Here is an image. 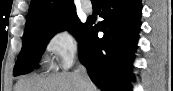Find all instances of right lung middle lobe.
<instances>
[{
	"instance_id": "dd1d6c3e",
	"label": "right lung middle lobe",
	"mask_w": 173,
	"mask_h": 91,
	"mask_svg": "<svg viewBox=\"0 0 173 91\" xmlns=\"http://www.w3.org/2000/svg\"><path fill=\"white\" fill-rule=\"evenodd\" d=\"M88 22L82 23L77 14L63 20L26 29L23 36L22 50L15 64L13 75L31 72L39 63L42 52L49 40L58 32L68 30L78 41L84 34Z\"/></svg>"
}]
</instances>
